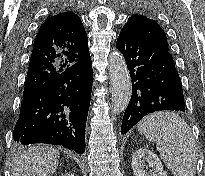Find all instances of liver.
Segmentation results:
<instances>
[{"label": "liver", "mask_w": 205, "mask_h": 176, "mask_svg": "<svg viewBox=\"0 0 205 176\" xmlns=\"http://www.w3.org/2000/svg\"><path fill=\"white\" fill-rule=\"evenodd\" d=\"M59 151L48 146L29 148L12 162V176H51L58 167Z\"/></svg>", "instance_id": "obj_1"}]
</instances>
